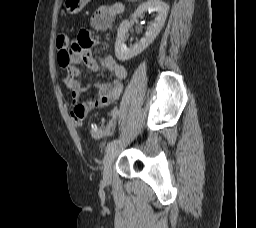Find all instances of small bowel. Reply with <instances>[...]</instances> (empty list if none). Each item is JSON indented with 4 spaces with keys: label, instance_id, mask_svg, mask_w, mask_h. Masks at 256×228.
<instances>
[{
    "label": "small bowel",
    "instance_id": "1",
    "mask_svg": "<svg viewBox=\"0 0 256 228\" xmlns=\"http://www.w3.org/2000/svg\"><path fill=\"white\" fill-rule=\"evenodd\" d=\"M122 11V5L118 3L101 6L92 14L90 25L97 31H106ZM98 44L90 31L81 30L68 48L59 49L58 61L65 71L63 82L71 93L73 100L71 117L76 126H81L94 109L106 107L119 99L124 89L123 80L127 76L125 67L112 56L106 55L101 59V64L114 75L115 79L111 83H95L93 87L97 91L96 96L82 101V96L90 85L84 84L81 67L85 66L91 71L99 70V64L93 56V49ZM114 125V121L108 123V133L112 131Z\"/></svg>",
    "mask_w": 256,
    "mask_h": 228
}]
</instances>
